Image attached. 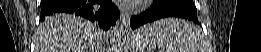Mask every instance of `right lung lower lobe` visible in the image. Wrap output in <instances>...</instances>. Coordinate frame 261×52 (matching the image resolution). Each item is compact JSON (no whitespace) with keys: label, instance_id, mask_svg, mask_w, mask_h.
Listing matches in <instances>:
<instances>
[{"label":"right lung lower lobe","instance_id":"obj_1","mask_svg":"<svg viewBox=\"0 0 261 52\" xmlns=\"http://www.w3.org/2000/svg\"><path fill=\"white\" fill-rule=\"evenodd\" d=\"M58 13L73 14L95 21L103 30H108L120 17L119 10L110 0H41V21L46 16Z\"/></svg>","mask_w":261,"mask_h":52}]
</instances>
